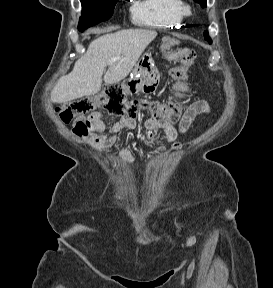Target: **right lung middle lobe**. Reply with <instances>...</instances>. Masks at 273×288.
Masks as SVG:
<instances>
[{
	"label": "right lung middle lobe",
	"mask_w": 273,
	"mask_h": 288,
	"mask_svg": "<svg viewBox=\"0 0 273 288\" xmlns=\"http://www.w3.org/2000/svg\"><path fill=\"white\" fill-rule=\"evenodd\" d=\"M82 3V16L79 20L78 30L83 32L86 28L108 20L118 0H80Z\"/></svg>",
	"instance_id": "right-lung-middle-lobe-1"
}]
</instances>
